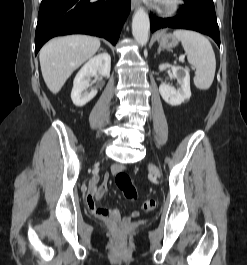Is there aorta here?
Masks as SVG:
<instances>
[{
  "instance_id": "1",
  "label": "aorta",
  "mask_w": 247,
  "mask_h": 265,
  "mask_svg": "<svg viewBox=\"0 0 247 265\" xmlns=\"http://www.w3.org/2000/svg\"><path fill=\"white\" fill-rule=\"evenodd\" d=\"M149 30H150V22L149 16L144 10V8L140 7L136 10L132 19V34L135 40L140 45H146L149 39Z\"/></svg>"
}]
</instances>
